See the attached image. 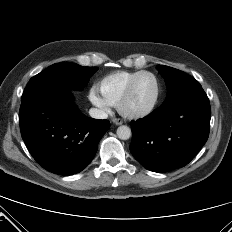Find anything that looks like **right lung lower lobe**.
<instances>
[{
	"mask_svg": "<svg viewBox=\"0 0 232 232\" xmlns=\"http://www.w3.org/2000/svg\"><path fill=\"white\" fill-rule=\"evenodd\" d=\"M22 138L34 159L59 175L82 171L94 158L108 120L82 115L71 89L42 90L21 100Z\"/></svg>",
	"mask_w": 232,
	"mask_h": 232,
	"instance_id": "98d812e1",
	"label": "right lung lower lobe"
}]
</instances>
